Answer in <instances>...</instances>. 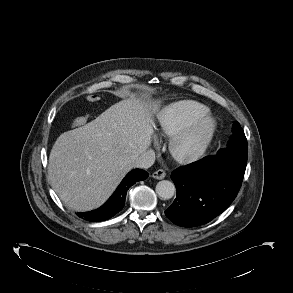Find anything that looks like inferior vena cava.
Wrapping results in <instances>:
<instances>
[{"mask_svg": "<svg viewBox=\"0 0 293 293\" xmlns=\"http://www.w3.org/2000/svg\"><path fill=\"white\" fill-rule=\"evenodd\" d=\"M155 162V152L152 149L145 151L141 156H139L134 162L133 166L136 168L147 169L151 167Z\"/></svg>", "mask_w": 293, "mask_h": 293, "instance_id": "obj_1", "label": "inferior vena cava"}]
</instances>
